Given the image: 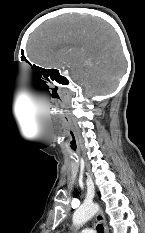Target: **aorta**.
I'll use <instances>...</instances> for the list:
<instances>
[{
  "label": "aorta",
  "instance_id": "762f6f07",
  "mask_svg": "<svg viewBox=\"0 0 145 233\" xmlns=\"http://www.w3.org/2000/svg\"><path fill=\"white\" fill-rule=\"evenodd\" d=\"M99 210L97 204H83L73 214V225L80 228L83 224L89 221Z\"/></svg>",
  "mask_w": 145,
  "mask_h": 233
}]
</instances>
